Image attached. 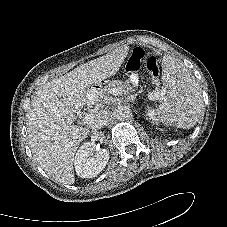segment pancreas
<instances>
[{
  "label": "pancreas",
  "instance_id": "cf45deb5",
  "mask_svg": "<svg viewBox=\"0 0 227 227\" xmlns=\"http://www.w3.org/2000/svg\"><path fill=\"white\" fill-rule=\"evenodd\" d=\"M113 89H117L118 95H127L130 92L134 91V89L127 83H124L120 80H112L104 87L103 90L90 89L88 93L90 92L95 94L97 96L96 102H98L103 95L111 94Z\"/></svg>",
  "mask_w": 227,
  "mask_h": 227
}]
</instances>
